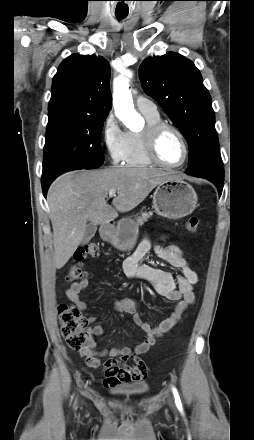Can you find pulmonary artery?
Here are the masks:
<instances>
[{
  "label": "pulmonary artery",
  "instance_id": "obj_1",
  "mask_svg": "<svg viewBox=\"0 0 254 440\" xmlns=\"http://www.w3.org/2000/svg\"><path fill=\"white\" fill-rule=\"evenodd\" d=\"M136 107L143 114L155 115L158 114V109L156 104L143 96H138L136 98Z\"/></svg>",
  "mask_w": 254,
  "mask_h": 440
}]
</instances>
